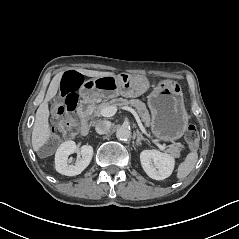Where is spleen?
Wrapping results in <instances>:
<instances>
[{
  "instance_id": "1",
  "label": "spleen",
  "mask_w": 239,
  "mask_h": 239,
  "mask_svg": "<svg viewBox=\"0 0 239 239\" xmlns=\"http://www.w3.org/2000/svg\"><path fill=\"white\" fill-rule=\"evenodd\" d=\"M198 160V153L196 151L187 154L184 162L180 163L177 169L176 177L177 179L186 178L190 172L194 169Z\"/></svg>"
}]
</instances>
